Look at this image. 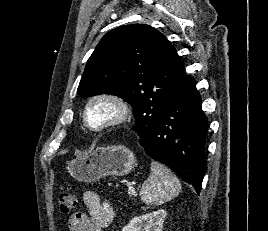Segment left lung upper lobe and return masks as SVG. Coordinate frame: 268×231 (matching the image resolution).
I'll return each instance as SVG.
<instances>
[{"instance_id": "obj_1", "label": "left lung upper lobe", "mask_w": 268, "mask_h": 231, "mask_svg": "<svg viewBox=\"0 0 268 231\" xmlns=\"http://www.w3.org/2000/svg\"><path fill=\"white\" fill-rule=\"evenodd\" d=\"M190 76L166 37L146 24L123 25L98 43L87 61L77 93L112 94L133 107L138 135L157 122L173 93Z\"/></svg>"}]
</instances>
